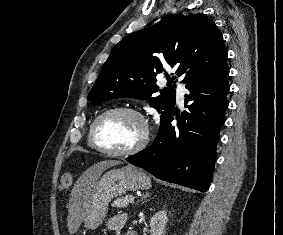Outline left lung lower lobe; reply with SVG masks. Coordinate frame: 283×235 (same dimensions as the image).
I'll return each instance as SVG.
<instances>
[{
	"instance_id": "0a47b994",
	"label": "left lung lower lobe",
	"mask_w": 283,
	"mask_h": 235,
	"mask_svg": "<svg viewBox=\"0 0 283 235\" xmlns=\"http://www.w3.org/2000/svg\"><path fill=\"white\" fill-rule=\"evenodd\" d=\"M228 76L225 61L188 81L185 87L190 94L185 95L184 104L189 112L180 116L173 110L160 125L153 144L126 160L161 180L207 191L214 170L219 130L228 107ZM174 115L178 129L171 125Z\"/></svg>"
}]
</instances>
